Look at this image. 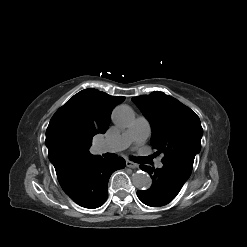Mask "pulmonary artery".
<instances>
[{
    "instance_id": "pulmonary-artery-1",
    "label": "pulmonary artery",
    "mask_w": 247,
    "mask_h": 247,
    "mask_svg": "<svg viewBox=\"0 0 247 247\" xmlns=\"http://www.w3.org/2000/svg\"><path fill=\"white\" fill-rule=\"evenodd\" d=\"M150 132L151 126L149 121L145 117L139 116L136 118L130 128H128L118 138L103 142L101 148L103 151L107 152L121 151L130 146L132 143H144L150 135ZM156 167L162 168L163 163L159 160L156 163Z\"/></svg>"
}]
</instances>
